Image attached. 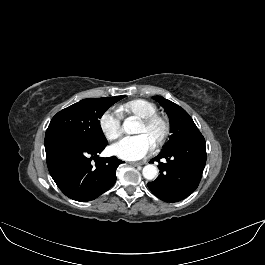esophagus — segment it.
<instances>
[{
    "instance_id": "34e87169",
    "label": "esophagus",
    "mask_w": 265,
    "mask_h": 265,
    "mask_svg": "<svg viewBox=\"0 0 265 265\" xmlns=\"http://www.w3.org/2000/svg\"><path fill=\"white\" fill-rule=\"evenodd\" d=\"M146 162L145 161H140V162H131L130 164L133 166H138V165H144Z\"/></svg>"
}]
</instances>
